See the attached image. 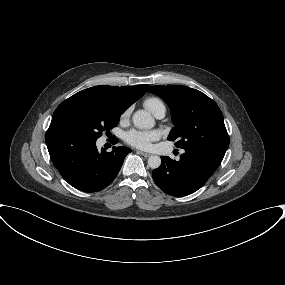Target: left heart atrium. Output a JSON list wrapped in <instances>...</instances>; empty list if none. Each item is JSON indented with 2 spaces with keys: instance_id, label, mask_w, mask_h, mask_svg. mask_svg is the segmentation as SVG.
<instances>
[{
  "instance_id": "1",
  "label": "left heart atrium",
  "mask_w": 285,
  "mask_h": 285,
  "mask_svg": "<svg viewBox=\"0 0 285 285\" xmlns=\"http://www.w3.org/2000/svg\"><path fill=\"white\" fill-rule=\"evenodd\" d=\"M125 141L138 149L148 150L152 147V143L159 139L157 131H142L132 129L125 134Z\"/></svg>"
}]
</instances>
